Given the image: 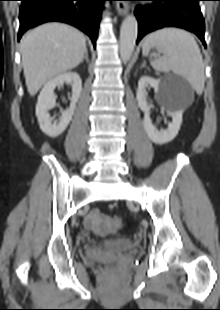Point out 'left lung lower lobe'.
I'll return each mask as SVG.
<instances>
[{
    "label": "left lung lower lobe",
    "mask_w": 220,
    "mask_h": 310,
    "mask_svg": "<svg viewBox=\"0 0 220 310\" xmlns=\"http://www.w3.org/2000/svg\"><path fill=\"white\" fill-rule=\"evenodd\" d=\"M152 1V4L138 6L135 16L138 20L137 43L147 33L164 27H178L195 33L204 46L205 23L200 11L201 0H137Z\"/></svg>",
    "instance_id": "left-lung-lower-lobe-1"
}]
</instances>
